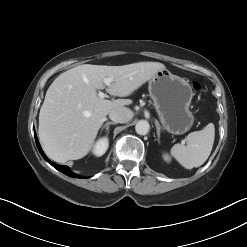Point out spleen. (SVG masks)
I'll return each instance as SVG.
<instances>
[{"label": "spleen", "mask_w": 247, "mask_h": 247, "mask_svg": "<svg viewBox=\"0 0 247 247\" xmlns=\"http://www.w3.org/2000/svg\"><path fill=\"white\" fill-rule=\"evenodd\" d=\"M215 138L213 123L204 129L190 133L186 137L187 145L175 144L171 155L186 169L201 166L209 157Z\"/></svg>", "instance_id": "1"}]
</instances>
